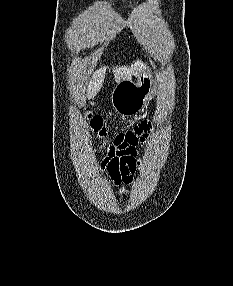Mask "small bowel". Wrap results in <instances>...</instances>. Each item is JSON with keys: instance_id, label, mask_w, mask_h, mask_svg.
Wrapping results in <instances>:
<instances>
[{"instance_id": "small-bowel-1", "label": "small bowel", "mask_w": 233, "mask_h": 286, "mask_svg": "<svg viewBox=\"0 0 233 286\" xmlns=\"http://www.w3.org/2000/svg\"><path fill=\"white\" fill-rule=\"evenodd\" d=\"M150 122H143L134 131L120 134L106 149L101 170L114 185L130 184L141 165L138 147L149 138Z\"/></svg>"}]
</instances>
